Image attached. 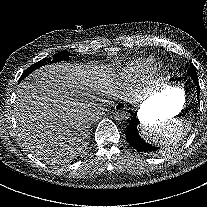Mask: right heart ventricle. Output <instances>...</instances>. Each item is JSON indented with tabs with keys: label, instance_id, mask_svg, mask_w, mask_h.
<instances>
[{
	"label": "right heart ventricle",
	"instance_id": "right-heart-ventricle-1",
	"mask_svg": "<svg viewBox=\"0 0 207 207\" xmlns=\"http://www.w3.org/2000/svg\"><path fill=\"white\" fill-rule=\"evenodd\" d=\"M156 61L153 59H142L136 62V65L125 69L122 73L123 78L146 76L154 69Z\"/></svg>",
	"mask_w": 207,
	"mask_h": 207
}]
</instances>
